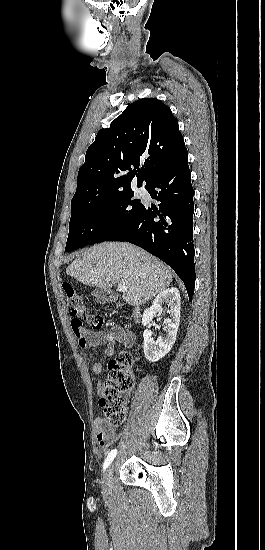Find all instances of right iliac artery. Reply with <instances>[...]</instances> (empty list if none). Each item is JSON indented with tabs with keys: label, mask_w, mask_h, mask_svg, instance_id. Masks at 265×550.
Here are the masks:
<instances>
[{
	"label": "right iliac artery",
	"mask_w": 265,
	"mask_h": 550,
	"mask_svg": "<svg viewBox=\"0 0 265 550\" xmlns=\"http://www.w3.org/2000/svg\"><path fill=\"white\" fill-rule=\"evenodd\" d=\"M117 455V450L116 449H113L110 451V453L108 454L105 462H104V465H103V469L105 470L109 465L110 463L113 461V459L116 457Z\"/></svg>",
	"instance_id": "1"
}]
</instances>
